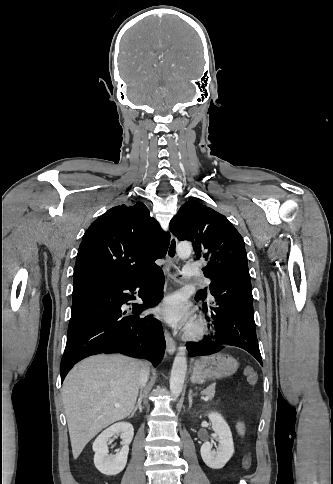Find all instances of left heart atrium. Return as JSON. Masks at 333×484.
Segmentation results:
<instances>
[{
  "instance_id": "1",
  "label": "left heart atrium",
  "mask_w": 333,
  "mask_h": 484,
  "mask_svg": "<svg viewBox=\"0 0 333 484\" xmlns=\"http://www.w3.org/2000/svg\"><path fill=\"white\" fill-rule=\"evenodd\" d=\"M156 313L175 326H190L192 323L190 305L180 293L167 296L157 307Z\"/></svg>"
}]
</instances>
